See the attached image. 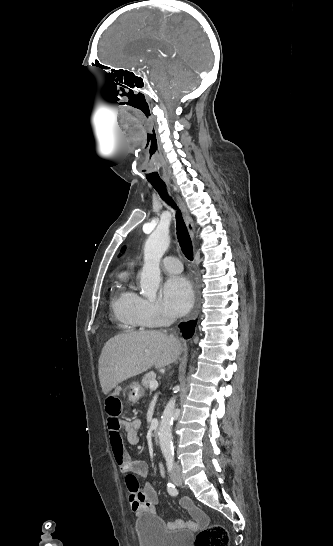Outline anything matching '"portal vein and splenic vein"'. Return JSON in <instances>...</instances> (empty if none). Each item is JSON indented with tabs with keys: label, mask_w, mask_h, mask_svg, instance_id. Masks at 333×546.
Wrapping results in <instances>:
<instances>
[{
	"label": "portal vein and splenic vein",
	"mask_w": 333,
	"mask_h": 546,
	"mask_svg": "<svg viewBox=\"0 0 333 546\" xmlns=\"http://www.w3.org/2000/svg\"><path fill=\"white\" fill-rule=\"evenodd\" d=\"M149 386L151 390H155L158 388V382L156 380H152Z\"/></svg>",
	"instance_id": "obj_1"
}]
</instances>
